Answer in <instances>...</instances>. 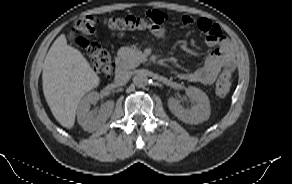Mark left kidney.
<instances>
[{"mask_svg":"<svg viewBox=\"0 0 292 184\" xmlns=\"http://www.w3.org/2000/svg\"><path fill=\"white\" fill-rule=\"evenodd\" d=\"M189 97L195 101L196 105L191 109H184L179 100L171 97L168 99L170 111L181 121L188 124H199L208 120L211 110L208 96L196 87L188 88Z\"/></svg>","mask_w":292,"mask_h":184,"instance_id":"left-kidney-1","label":"left kidney"}]
</instances>
